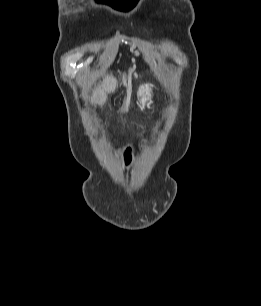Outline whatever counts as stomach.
I'll return each mask as SVG.
<instances>
[{
  "mask_svg": "<svg viewBox=\"0 0 261 306\" xmlns=\"http://www.w3.org/2000/svg\"><path fill=\"white\" fill-rule=\"evenodd\" d=\"M140 92H141V94H144V93H143V90H141ZM147 93H148V91H147ZM146 101H147V99L144 100V103H145ZM142 102H143V100H142Z\"/></svg>",
  "mask_w": 261,
  "mask_h": 306,
  "instance_id": "stomach-1",
  "label": "stomach"
}]
</instances>
